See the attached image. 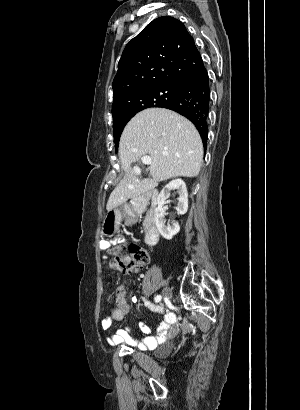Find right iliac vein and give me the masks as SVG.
Masks as SVG:
<instances>
[{
	"instance_id": "63e3f726",
	"label": "right iliac vein",
	"mask_w": 300,
	"mask_h": 410,
	"mask_svg": "<svg viewBox=\"0 0 300 410\" xmlns=\"http://www.w3.org/2000/svg\"><path fill=\"white\" fill-rule=\"evenodd\" d=\"M163 296L166 297V298L170 297L171 296V290L169 288H165L163 290Z\"/></svg>"
}]
</instances>
